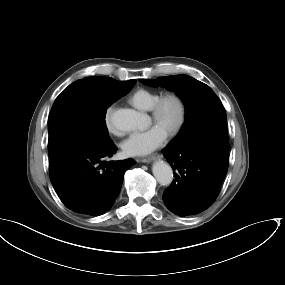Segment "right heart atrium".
<instances>
[{
    "label": "right heart atrium",
    "instance_id": "d8ad5b80",
    "mask_svg": "<svg viewBox=\"0 0 285 285\" xmlns=\"http://www.w3.org/2000/svg\"><path fill=\"white\" fill-rule=\"evenodd\" d=\"M112 113H113V107H108L105 112V118H106V123L109 131L119 134V131L113 126L112 124Z\"/></svg>",
    "mask_w": 285,
    "mask_h": 285
}]
</instances>
